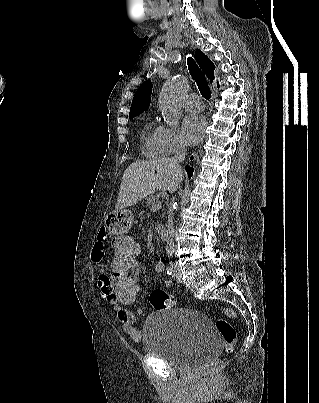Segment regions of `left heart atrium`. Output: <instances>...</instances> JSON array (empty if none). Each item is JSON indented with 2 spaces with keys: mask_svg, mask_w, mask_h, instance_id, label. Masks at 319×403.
<instances>
[{
  "mask_svg": "<svg viewBox=\"0 0 319 403\" xmlns=\"http://www.w3.org/2000/svg\"><path fill=\"white\" fill-rule=\"evenodd\" d=\"M206 121L200 114L191 113L185 116L182 122V133L185 141L190 144L199 142L205 132Z\"/></svg>",
  "mask_w": 319,
  "mask_h": 403,
  "instance_id": "1",
  "label": "left heart atrium"
}]
</instances>
